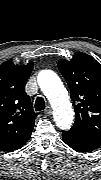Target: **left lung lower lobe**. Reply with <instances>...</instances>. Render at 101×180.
I'll return each instance as SVG.
<instances>
[{
	"instance_id": "0a47b994",
	"label": "left lung lower lobe",
	"mask_w": 101,
	"mask_h": 180,
	"mask_svg": "<svg viewBox=\"0 0 101 180\" xmlns=\"http://www.w3.org/2000/svg\"><path fill=\"white\" fill-rule=\"evenodd\" d=\"M64 142L72 149L80 152H90L100 145V139L89 134L75 131H63Z\"/></svg>"
}]
</instances>
